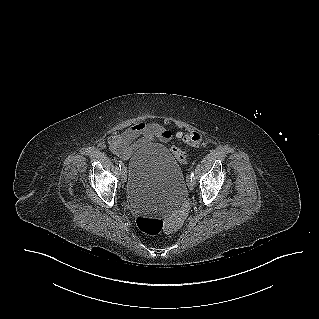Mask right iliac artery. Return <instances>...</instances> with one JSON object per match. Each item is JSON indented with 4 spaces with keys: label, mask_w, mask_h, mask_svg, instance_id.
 I'll return each mask as SVG.
<instances>
[{
    "label": "right iliac artery",
    "mask_w": 319,
    "mask_h": 319,
    "mask_svg": "<svg viewBox=\"0 0 319 319\" xmlns=\"http://www.w3.org/2000/svg\"><path fill=\"white\" fill-rule=\"evenodd\" d=\"M118 162V165H119V168H120V171L122 172L123 171V169H124V165H123V163H122V161H117Z\"/></svg>",
    "instance_id": "right-iliac-artery-1"
}]
</instances>
